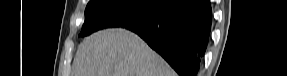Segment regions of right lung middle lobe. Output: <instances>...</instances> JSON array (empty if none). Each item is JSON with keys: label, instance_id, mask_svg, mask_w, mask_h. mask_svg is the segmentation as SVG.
Segmentation results:
<instances>
[{"label": "right lung middle lobe", "instance_id": "right-lung-middle-lobe-1", "mask_svg": "<svg viewBox=\"0 0 287 76\" xmlns=\"http://www.w3.org/2000/svg\"><path fill=\"white\" fill-rule=\"evenodd\" d=\"M166 0H91L80 37L105 28H128L149 20Z\"/></svg>", "mask_w": 287, "mask_h": 76}]
</instances>
